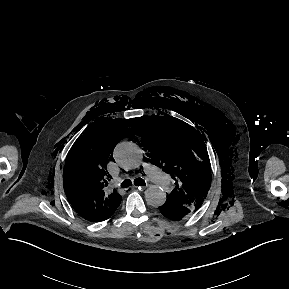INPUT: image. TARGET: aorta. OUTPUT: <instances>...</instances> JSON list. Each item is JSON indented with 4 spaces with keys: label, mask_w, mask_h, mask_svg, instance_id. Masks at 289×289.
I'll return each instance as SVG.
<instances>
[{
    "label": "aorta",
    "mask_w": 289,
    "mask_h": 289,
    "mask_svg": "<svg viewBox=\"0 0 289 289\" xmlns=\"http://www.w3.org/2000/svg\"><path fill=\"white\" fill-rule=\"evenodd\" d=\"M116 162L125 169H136L143 161L140 147L133 142H120L114 150ZM145 200L152 207L162 206L166 201V192L159 186L152 185L145 191Z\"/></svg>",
    "instance_id": "obj_1"
}]
</instances>
